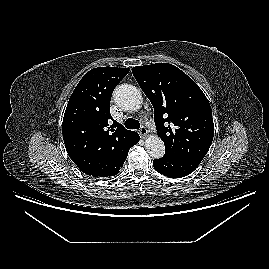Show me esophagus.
I'll return each instance as SVG.
<instances>
[{
    "mask_svg": "<svg viewBox=\"0 0 269 269\" xmlns=\"http://www.w3.org/2000/svg\"><path fill=\"white\" fill-rule=\"evenodd\" d=\"M147 129L145 126H141L140 129H139V134L142 138H145L146 135H147Z\"/></svg>",
    "mask_w": 269,
    "mask_h": 269,
    "instance_id": "34e87169",
    "label": "esophagus"
}]
</instances>
